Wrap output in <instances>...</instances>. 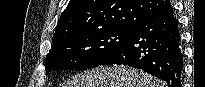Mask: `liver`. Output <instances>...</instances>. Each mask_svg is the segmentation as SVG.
Masks as SVG:
<instances>
[{
  "label": "liver",
  "mask_w": 205,
  "mask_h": 87,
  "mask_svg": "<svg viewBox=\"0 0 205 87\" xmlns=\"http://www.w3.org/2000/svg\"><path fill=\"white\" fill-rule=\"evenodd\" d=\"M65 87H164L142 71L123 66H100L77 74Z\"/></svg>",
  "instance_id": "obj_1"
}]
</instances>
